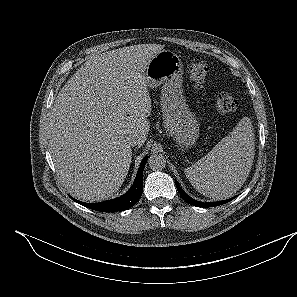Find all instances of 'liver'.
Segmentation results:
<instances>
[{
    "label": "liver",
    "instance_id": "liver-1",
    "mask_svg": "<svg viewBox=\"0 0 297 297\" xmlns=\"http://www.w3.org/2000/svg\"><path fill=\"white\" fill-rule=\"evenodd\" d=\"M139 44L86 61L59 91L48 139L57 175L74 197L96 202L123 184L131 164L130 135L146 141L151 99L145 70L163 49Z\"/></svg>",
    "mask_w": 297,
    "mask_h": 297
}]
</instances>
